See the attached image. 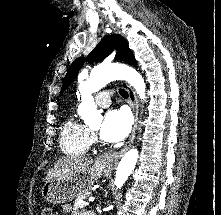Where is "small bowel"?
Wrapping results in <instances>:
<instances>
[{
  "label": "small bowel",
  "mask_w": 221,
  "mask_h": 215,
  "mask_svg": "<svg viewBox=\"0 0 221 215\" xmlns=\"http://www.w3.org/2000/svg\"><path fill=\"white\" fill-rule=\"evenodd\" d=\"M63 212L69 215H87V212L80 211V210H73L72 207L68 204H65L63 206Z\"/></svg>",
  "instance_id": "1"
}]
</instances>
